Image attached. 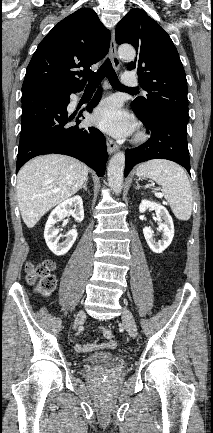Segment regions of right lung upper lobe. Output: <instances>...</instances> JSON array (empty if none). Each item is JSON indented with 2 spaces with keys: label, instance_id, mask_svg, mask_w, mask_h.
<instances>
[{
  "label": "right lung upper lobe",
  "instance_id": "1",
  "mask_svg": "<svg viewBox=\"0 0 213 433\" xmlns=\"http://www.w3.org/2000/svg\"><path fill=\"white\" fill-rule=\"evenodd\" d=\"M109 46L110 32L97 14L90 8L77 10L57 23L38 45L22 92L66 95L83 89L86 79L94 75L90 66L107 54Z\"/></svg>",
  "mask_w": 213,
  "mask_h": 433
}]
</instances>
